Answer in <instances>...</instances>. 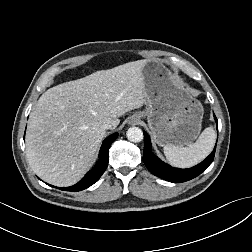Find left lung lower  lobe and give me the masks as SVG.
<instances>
[{
    "label": "left lung lower lobe",
    "instance_id": "1",
    "mask_svg": "<svg viewBox=\"0 0 252 252\" xmlns=\"http://www.w3.org/2000/svg\"><path fill=\"white\" fill-rule=\"evenodd\" d=\"M214 119L217 123V118L215 115H214ZM214 154H215V148L213 152L204 161H202L200 164L192 168H189V169L174 168L162 162L157 156H155L152 153L150 138L147 135V133L144 132L143 161L146 167L155 176H158L162 179H165L173 183L185 182L200 175L212 163L214 159Z\"/></svg>",
    "mask_w": 252,
    "mask_h": 252
}]
</instances>
